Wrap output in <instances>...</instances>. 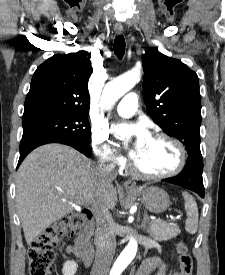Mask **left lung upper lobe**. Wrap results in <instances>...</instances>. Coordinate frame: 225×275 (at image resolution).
Masks as SVG:
<instances>
[{
    "label": "left lung upper lobe",
    "instance_id": "left-lung-upper-lobe-1",
    "mask_svg": "<svg viewBox=\"0 0 225 275\" xmlns=\"http://www.w3.org/2000/svg\"><path fill=\"white\" fill-rule=\"evenodd\" d=\"M144 101L163 131L181 141L188 154L200 152L201 98L197 74L157 48L143 55Z\"/></svg>",
    "mask_w": 225,
    "mask_h": 275
}]
</instances>
